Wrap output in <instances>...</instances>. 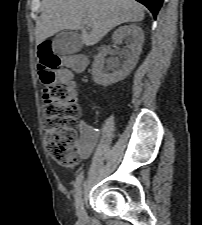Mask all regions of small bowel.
<instances>
[{
    "label": "small bowel",
    "mask_w": 202,
    "mask_h": 225,
    "mask_svg": "<svg viewBox=\"0 0 202 225\" xmlns=\"http://www.w3.org/2000/svg\"><path fill=\"white\" fill-rule=\"evenodd\" d=\"M87 64L86 60L81 61V68ZM74 85V83L72 82ZM82 135L78 142V152L81 159L86 160L90 158L93 151L101 144L100 135L94 131L91 124L87 121L80 123Z\"/></svg>",
    "instance_id": "obj_1"
}]
</instances>
